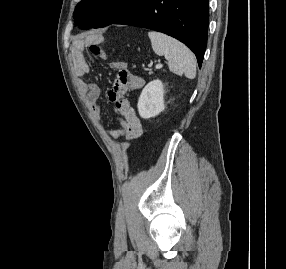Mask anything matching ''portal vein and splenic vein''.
Here are the masks:
<instances>
[{"mask_svg":"<svg viewBox=\"0 0 286 269\" xmlns=\"http://www.w3.org/2000/svg\"><path fill=\"white\" fill-rule=\"evenodd\" d=\"M162 66H163V65H162L161 63H158V64L156 65V68H157V69H160V68H162Z\"/></svg>","mask_w":286,"mask_h":269,"instance_id":"portal-vein-and-splenic-vein-1","label":"portal vein and splenic vein"}]
</instances>
